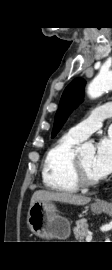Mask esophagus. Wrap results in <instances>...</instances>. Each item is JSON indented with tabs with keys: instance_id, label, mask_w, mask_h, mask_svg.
I'll return each mask as SVG.
<instances>
[{
	"instance_id": "esophagus-1",
	"label": "esophagus",
	"mask_w": 112,
	"mask_h": 270,
	"mask_svg": "<svg viewBox=\"0 0 112 270\" xmlns=\"http://www.w3.org/2000/svg\"><path fill=\"white\" fill-rule=\"evenodd\" d=\"M96 204H97V205H101V206H103V205H105V202H104V201H100V200H98V201L96 202Z\"/></svg>"
}]
</instances>
